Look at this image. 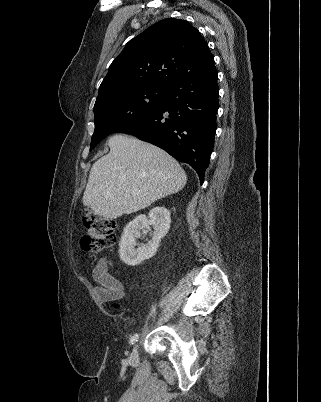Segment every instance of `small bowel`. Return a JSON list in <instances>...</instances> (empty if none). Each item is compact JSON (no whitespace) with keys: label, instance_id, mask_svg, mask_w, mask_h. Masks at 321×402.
Here are the masks:
<instances>
[{"label":"small bowel","instance_id":"c3829d8e","mask_svg":"<svg viewBox=\"0 0 321 402\" xmlns=\"http://www.w3.org/2000/svg\"><path fill=\"white\" fill-rule=\"evenodd\" d=\"M92 275L98 284L95 291L100 299L109 300L123 297L122 284L109 273L107 263L104 260L94 266Z\"/></svg>","mask_w":321,"mask_h":402}]
</instances>
